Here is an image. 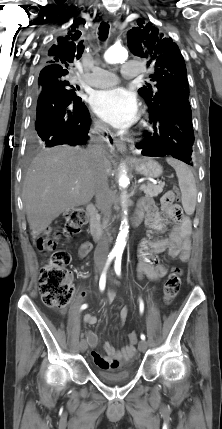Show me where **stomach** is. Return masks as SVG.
Returning a JSON list of instances; mask_svg holds the SVG:
<instances>
[{
    "label": "stomach",
    "instance_id": "stomach-1",
    "mask_svg": "<svg viewBox=\"0 0 222 429\" xmlns=\"http://www.w3.org/2000/svg\"><path fill=\"white\" fill-rule=\"evenodd\" d=\"M132 166L139 174L149 178H157L163 172L162 166L158 162L149 158L135 160L132 162Z\"/></svg>",
    "mask_w": 222,
    "mask_h": 429
}]
</instances>
